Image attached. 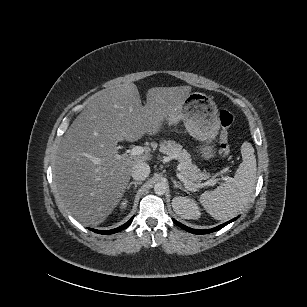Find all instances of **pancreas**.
I'll list each match as a JSON object with an SVG mask.
<instances>
[{"label":"pancreas","instance_id":"cf45deb5","mask_svg":"<svg viewBox=\"0 0 307 307\" xmlns=\"http://www.w3.org/2000/svg\"><path fill=\"white\" fill-rule=\"evenodd\" d=\"M159 148L160 152L163 154L178 156V160L182 164V169L180 171L185 179L202 183L203 181H207L209 178H216L214 173L207 172L206 170L201 171L196 165L192 164L191 155L186 149L182 148L180 143H177L171 139H161L159 142Z\"/></svg>","mask_w":307,"mask_h":307}]
</instances>
